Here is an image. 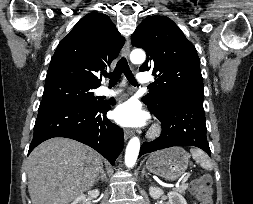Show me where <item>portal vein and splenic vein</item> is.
<instances>
[{
	"label": "portal vein and splenic vein",
	"instance_id": "1",
	"mask_svg": "<svg viewBox=\"0 0 253 204\" xmlns=\"http://www.w3.org/2000/svg\"><path fill=\"white\" fill-rule=\"evenodd\" d=\"M188 177L187 176H184L183 179H182V183H185L187 181Z\"/></svg>",
	"mask_w": 253,
	"mask_h": 204
}]
</instances>
